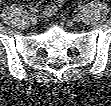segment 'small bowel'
Wrapping results in <instances>:
<instances>
[{"label":"small bowel","mask_w":111,"mask_h":106,"mask_svg":"<svg viewBox=\"0 0 111 106\" xmlns=\"http://www.w3.org/2000/svg\"><path fill=\"white\" fill-rule=\"evenodd\" d=\"M65 3V0H54L50 2L43 11V16L48 18L54 14V12L57 10L58 7L63 6Z\"/></svg>","instance_id":"small-bowel-1"}]
</instances>
